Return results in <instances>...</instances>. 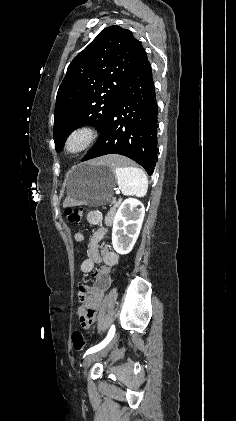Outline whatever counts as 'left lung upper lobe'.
<instances>
[{"label": "left lung upper lobe", "instance_id": "obj_1", "mask_svg": "<svg viewBox=\"0 0 236 421\" xmlns=\"http://www.w3.org/2000/svg\"><path fill=\"white\" fill-rule=\"evenodd\" d=\"M141 43L113 25L71 62L56 98L53 137L58 152L78 127L102 128L132 69Z\"/></svg>", "mask_w": 236, "mask_h": 421}]
</instances>
